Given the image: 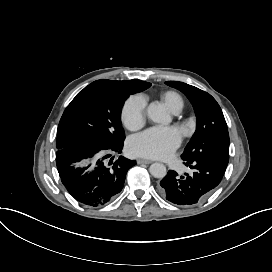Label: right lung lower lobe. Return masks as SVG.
<instances>
[{"mask_svg": "<svg viewBox=\"0 0 272 272\" xmlns=\"http://www.w3.org/2000/svg\"><path fill=\"white\" fill-rule=\"evenodd\" d=\"M123 143L112 148L80 142L56 152L61 182L68 193L81 204L99 207L107 204L122 190L127 171L136 164L120 156L115 162L105 159L110 153H121Z\"/></svg>", "mask_w": 272, "mask_h": 272, "instance_id": "1", "label": "right lung lower lobe"}]
</instances>
